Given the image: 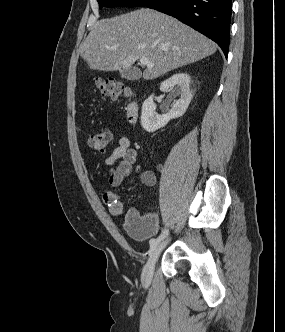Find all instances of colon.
Returning <instances> with one entry per match:
<instances>
[{
	"label": "colon",
	"instance_id": "1",
	"mask_svg": "<svg viewBox=\"0 0 285 332\" xmlns=\"http://www.w3.org/2000/svg\"><path fill=\"white\" fill-rule=\"evenodd\" d=\"M95 88L103 96H108L113 100H119L129 93L128 87L113 79L98 80L95 82ZM110 137L109 130L102 129L91 133L87 139V143L90 148L99 152H105L108 149Z\"/></svg>",
	"mask_w": 285,
	"mask_h": 332
}]
</instances>
